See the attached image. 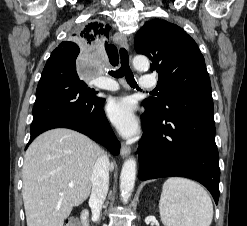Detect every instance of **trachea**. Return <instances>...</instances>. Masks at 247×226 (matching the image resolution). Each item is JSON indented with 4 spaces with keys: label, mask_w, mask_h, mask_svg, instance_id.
Returning a JSON list of instances; mask_svg holds the SVG:
<instances>
[{
    "label": "trachea",
    "mask_w": 247,
    "mask_h": 226,
    "mask_svg": "<svg viewBox=\"0 0 247 226\" xmlns=\"http://www.w3.org/2000/svg\"><path fill=\"white\" fill-rule=\"evenodd\" d=\"M120 59H121V67L116 71H109V74L114 78H122L125 76L127 83L139 90V87L135 81L134 75L129 66V58L128 53L124 48L120 49Z\"/></svg>",
    "instance_id": "3493384b"
}]
</instances>
